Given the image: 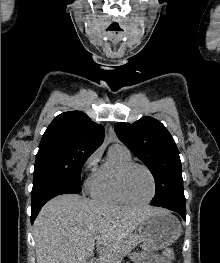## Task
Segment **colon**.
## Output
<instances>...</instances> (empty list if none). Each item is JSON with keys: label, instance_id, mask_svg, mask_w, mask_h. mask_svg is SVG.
<instances>
[{"label": "colon", "instance_id": "1", "mask_svg": "<svg viewBox=\"0 0 220 263\" xmlns=\"http://www.w3.org/2000/svg\"><path fill=\"white\" fill-rule=\"evenodd\" d=\"M173 258H174V251L171 248H168L163 252V259L168 263H172Z\"/></svg>", "mask_w": 220, "mask_h": 263}]
</instances>
